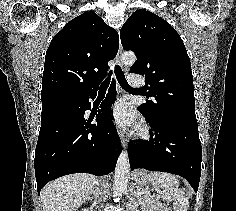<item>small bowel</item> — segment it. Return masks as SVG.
Instances as JSON below:
<instances>
[{"mask_svg":"<svg viewBox=\"0 0 236 211\" xmlns=\"http://www.w3.org/2000/svg\"><path fill=\"white\" fill-rule=\"evenodd\" d=\"M146 211H168V210L161 202H156L151 209Z\"/></svg>","mask_w":236,"mask_h":211,"instance_id":"small-bowel-1","label":"small bowel"}]
</instances>
